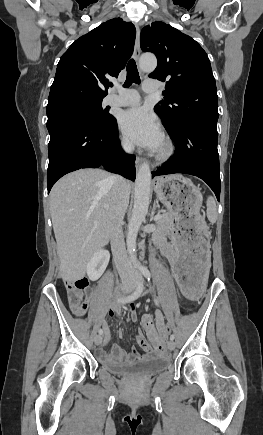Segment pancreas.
Returning a JSON list of instances; mask_svg holds the SVG:
<instances>
[{
    "instance_id": "1",
    "label": "pancreas",
    "mask_w": 263,
    "mask_h": 435,
    "mask_svg": "<svg viewBox=\"0 0 263 435\" xmlns=\"http://www.w3.org/2000/svg\"><path fill=\"white\" fill-rule=\"evenodd\" d=\"M176 215L177 214L172 210L162 214V217L156 222L157 229L153 234V240L155 242L165 239L170 233L174 224V220L176 219Z\"/></svg>"
}]
</instances>
